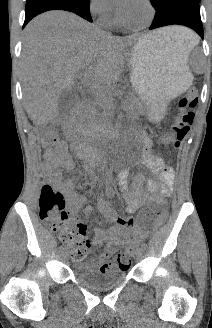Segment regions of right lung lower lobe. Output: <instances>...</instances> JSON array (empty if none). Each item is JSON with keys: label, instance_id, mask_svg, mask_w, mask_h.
I'll return each instance as SVG.
<instances>
[{"label": "right lung lower lobe", "instance_id": "right-lung-lower-lobe-1", "mask_svg": "<svg viewBox=\"0 0 212 328\" xmlns=\"http://www.w3.org/2000/svg\"><path fill=\"white\" fill-rule=\"evenodd\" d=\"M90 0H27L23 27L35 16L49 10H65L73 12L92 22Z\"/></svg>", "mask_w": 212, "mask_h": 328}]
</instances>
